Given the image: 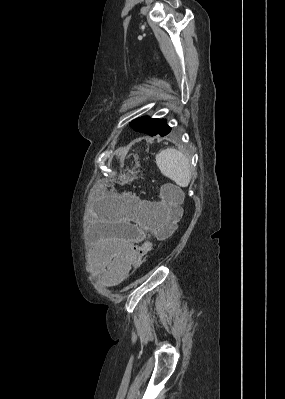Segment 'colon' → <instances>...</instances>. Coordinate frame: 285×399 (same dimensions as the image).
Here are the masks:
<instances>
[{
    "instance_id": "colon-1",
    "label": "colon",
    "mask_w": 285,
    "mask_h": 399,
    "mask_svg": "<svg viewBox=\"0 0 285 399\" xmlns=\"http://www.w3.org/2000/svg\"><path fill=\"white\" fill-rule=\"evenodd\" d=\"M162 194V205L161 209L166 214L165 223L158 229L156 233V237L158 239H165L169 237L175 230L176 225L181 216V207L180 201L181 196L175 190L169 186H165L161 188ZM152 250V242L145 241L139 245H137L134 249V262L137 266L140 265L142 260L150 254Z\"/></svg>"
}]
</instances>
